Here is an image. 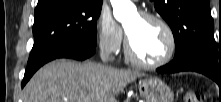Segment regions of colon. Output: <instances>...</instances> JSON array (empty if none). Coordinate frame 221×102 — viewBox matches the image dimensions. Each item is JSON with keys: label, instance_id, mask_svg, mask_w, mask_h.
<instances>
[{"label": "colon", "instance_id": "5ec220e1", "mask_svg": "<svg viewBox=\"0 0 221 102\" xmlns=\"http://www.w3.org/2000/svg\"><path fill=\"white\" fill-rule=\"evenodd\" d=\"M184 102H202V98L198 93L188 91L184 96Z\"/></svg>", "mask_w": 221, "mask_h": 102}]
</instances>
